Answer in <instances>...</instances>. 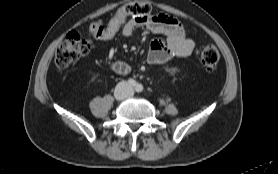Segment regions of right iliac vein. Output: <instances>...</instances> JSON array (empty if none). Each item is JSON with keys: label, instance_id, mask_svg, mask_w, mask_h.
I'll use <instances>...</instances> for the list:
<instances>
[{"label": "right iliac vein", "instance_id": "63e3f726", "mask_svg": "<svg viewBox=\"0 0 278 174\" xmlns=\"http://www.w3.org/2000/svg\"><path fill=\"white\" fill-rule=\"evenodd\" d=\"M115 99L118 101L123 100L126 97V90L123 86L118 87L114 93Z\"/></svg>", "mask_w": 278, "mask_h": 174}]
</instances>
